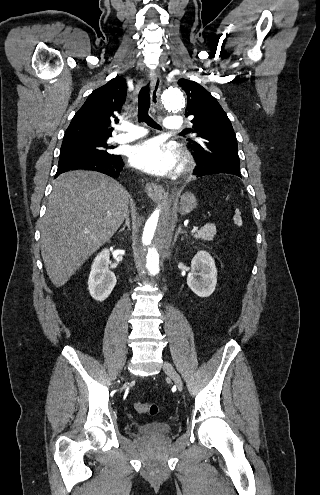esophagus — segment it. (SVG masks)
Wrapping results in <instances>:
<instances>
[{
  "label": "esophagus",
  "mask_w": 320,
  "mask_h": 495,
  "mask_svg": "<svg viewBox=\"0 0 320 495\" xmlns=\"http://www.w3.org/2000/svg\"><path fill=\"white\" fill-rule=\"evenodd\" d=\"M150 80H151V88H150L151 108L155 112L159 104V96L161 89V77L157 70H153L151 72ZM145 191L148 194V196L153 200H161L165 195L163 186L154 182H147L145 185Z\"/></svg>",
  "instance_id": "obj_1"
}]
</instances>
